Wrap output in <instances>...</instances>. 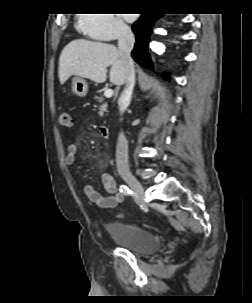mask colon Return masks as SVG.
<instances>
[{
	"label": "colon",
	"mask_w": 252,
	"mask_h": 303,
	"mask_svg": "<svg viewBox=\"0 0 252 303\" xmlns=\"http://www.w3.org/2000/svg\"><path fill=\"white\" fill-rule=\"evenodd\" d=\"M72 124L71 115L69 112L62 111L60 113V125L62 127H70Z\"/></svg>",
	"instance_id": "obj_1"
}]
</instances>
